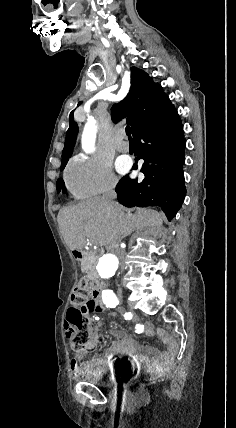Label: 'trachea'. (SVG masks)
<instances>
[{
    "label": "trachea",
    "mask_w": 236,
    "mask_h": 428,
    "mask_svg": "<svg viewBox=\"0 0 236 428\" xmlns=\"http://www.w3.org/2000/svg\"><path fill=\"white\" fill-rule=\"evenodd\" d=\"M126 135L131 139V128L129 126L126 127Z\"/></svg>",
    "instance_id": "trachea-1"
}]
</instances>
